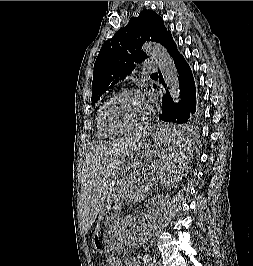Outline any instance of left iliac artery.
I'll return each instance as SVG.
<instances>
[{
  "label": "left iliac artery",
  "instance_id": "left-iliac-artery-1",
  "mask_svg": "<svg viewBox=\"0 0 253 266\" xmlns=\"http://www.w3.org/2000/svg\"><path fill=\"white\" fill-rule=\"evenodd\" d=\"M153 263L155 264V266H158V263L156 262V259H154Z\"/></svg>",
  "mask_w": 253,
  "mask_h": 266
}]
</instances>
